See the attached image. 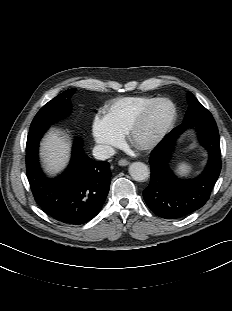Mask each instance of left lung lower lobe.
Here are the masks:
<instances>
[{
  "label": "left lung lower lobe",
  "mask_w": 232,
  "mask_h": 311,
  "mask_svg": "<svg viewBox=\"0 0 232 311\" xmlns=\"http://www.w3.org/2000/svg\"><path fill=\"white\" fill-rule=\"evenodd\" d=\"M189 127L196 128L200 143L209 152V160L199 177L183 180L173 174L168 161L177 137ZM150 158L151 179L143 195L157 216L177 219L201 208L209 199L221 171L219 133L211 113L184 119L153 149Z\"/></svg>",
  "instance_id": "left-lung-lower-lobe-1"
}]
</instances>
